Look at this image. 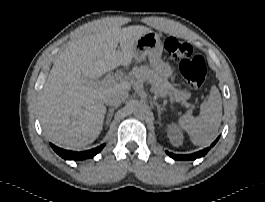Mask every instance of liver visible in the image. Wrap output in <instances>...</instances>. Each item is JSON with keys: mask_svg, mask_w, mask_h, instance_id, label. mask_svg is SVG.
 <instances>
[{"mask_svg": "<svg viewBox=\"0 0 265 202\" xmlns=\"http://www.w3.org/2000/svg\"><path fill=\"white\" fill-rule=\"evenodd\" d=\"M150 31L145 26L120 28L97 20L59 54L38 102L40 121L49 141L75 150L96 140L103 129L107 94L113 90L129 91L131 83L93 82L120 65L129 66L136 41Z\"/></svg>", "mask_w": 265, "mask_h": 202, "instance_id": "6515ba94", "label": "liver"}]
</instances>
